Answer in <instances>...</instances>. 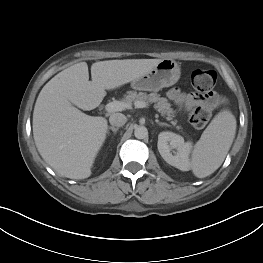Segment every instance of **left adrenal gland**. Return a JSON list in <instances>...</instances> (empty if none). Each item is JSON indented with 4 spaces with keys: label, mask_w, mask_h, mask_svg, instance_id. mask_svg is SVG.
<instances>
[{
    "label": "left adrenal gland",
    "mask_w": 263,
    "mask_h": 263,
    "mask_svg": "<svg viewBox=\"0 0 263 263\" xmlns=\"http://www.w3.org/2000/svg\"><path fill=\"white\" fill-rule=\"evenodd\" d=\"M156 122L160 126H169L167 123H162V122H159L158 120H156Z\"/></svg>",
    "instance_id": "1"
}]
</instances>
